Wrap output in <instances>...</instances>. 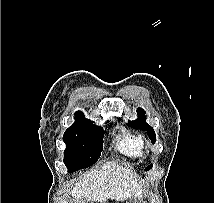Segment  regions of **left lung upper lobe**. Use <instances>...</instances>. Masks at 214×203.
Segmentation results:
<instances>
[{"label": "left lung upper lobe", "instance_id": "5c2ea615", "mask_svg": "<svg viewBox=\"0 0 214 203\" xmlns=\"http://www.w3.org/2000/svg\"><path fill=\"white\" fill-rule=\"evenodd\" d=\"M137 115L138 118L134 121H129V124L137 129L146 131L152 143H155L156 135L153 128L146 123L145 111L142 108H138ZM150 168H152V165H150L146 170H149Z\"/></svg>", "mask_w": 214, "mask_h": 203}]
</instances>
